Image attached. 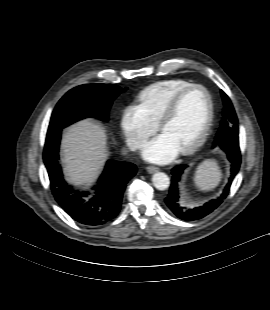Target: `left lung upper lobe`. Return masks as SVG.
I'll return each instance as SVG.
<instances>
[{
  "mask_svg": "<svg viewBox=\"0 0 270 310\" xmlns=\"http://www.w3.org/2000/svg\"><path fill=\"white\" fill-rule=\"evenodd\" d=\"M221 94L224 103L223 121L215 137L213 147L219 146L225 152H229L239 149L238 121L229 97L222 90Z\"/></svg>",
  "mask_w": 270,
  "mask_h": 310,
  "instance_id": "left-lung-upper-lobe-1",
  "label": "left lung upper lobe"
}]
</instances>
